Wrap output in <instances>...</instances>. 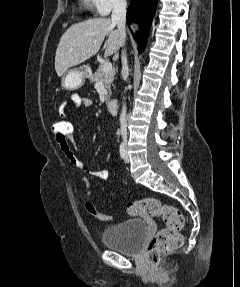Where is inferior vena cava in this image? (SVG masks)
Instances as JSON below:
<instances>
[{
	"label": "inferior vena cava",
	"mask_w": 240,
	"mask_h": 287,
	"mask_svg": "<svg viewBox=\"0 0 240 287\" xmlns=\"http://www.w3.org/2000/svg\"><path fill=\"white\" fill-rule=\"evenodd\" d=\"M126 0H113L112 6V22L117 24L120 33V39L122 45L125 44L126 39ZM122 74L128 75V64L125 52H122ZM120 132L123 142L127 143V117H126V106L123 104L122 111L120 114Z\"/></svg>",
	"instance_id": "obj_1"
}]
</instances>
